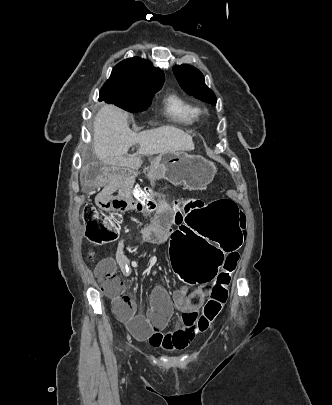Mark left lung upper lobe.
<instances>
[{"mask_svg": "<svg viewBox=\"0 0 332 405\" xmlns=\"http://www.w3.org/2000/svg\"><path fill=\"white\" fill-rule=\"evenodd\" d=\"M173 72L180 86L190 95L213 105L216 104V96L204 83L202 73L189 65H176Z\"/></svg>", "mask_w": 332, "mask_h": 405, "instance_id": "5c2ea615", "label": "left lung upper lobe"}]
</instances>
